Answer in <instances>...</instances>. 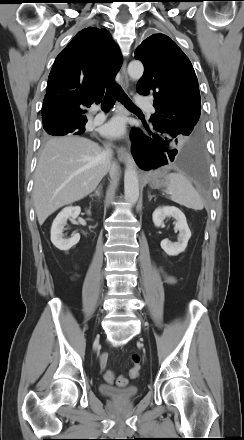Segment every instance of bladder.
<instances>
[{
  "label": "bladder",
  "instance_id": "bladder-1",
  "mask_svg": "<svg viewBox=\"0 0 244 440\" xmlns=\"http://www.w3.org/2000/svg\"><path fill=\"white\" fill-rule=\"evenodd\" d=\"M99 391L105 397L116 402H130L137 398L139 390L137 387L116 388L107 384H101Z\"/></svg>",
  "mask_w": 244,
  "mask_h": 440
}]
</instances>
